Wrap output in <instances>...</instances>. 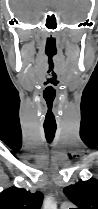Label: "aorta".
Wrapping results in <instances>:
<instances>
[{
    "label": "aorta",
    "mask_w": 98,
    "mask_h": 209,
    "mask_svg": "<svg viewBox=\"0 0 98 209\" xmlns=\"http://www.w3.org/2000/svg\"><path fill=\"white\" fill-rule=\"evenodd\" d=\"M43 209H57V205L53 200V197L47 196L43 202Z\"/></svg>",
    "instance_id": "obj_1"
}]
</instances>
